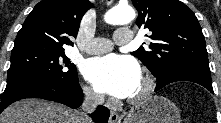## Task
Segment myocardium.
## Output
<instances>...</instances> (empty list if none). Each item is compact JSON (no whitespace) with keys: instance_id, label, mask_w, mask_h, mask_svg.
Returning <instances> with one entry per match:
<instances>
[{"instance_id":"myocardium-1","label":"myocardium","mask_w":221,"mask_h":123,"mask_svg":"<svg viewBox=\"0 0 221 123\" xmlns=\"http://www.w3.org/2000/svg\"><path fill=\"white\" fill-rule=\"evenodd\" d=\"M141 88L133 96L128 98V103L136 105L146 100L153 92L155 88V80L149 75H143L140 77Z\"/></svg>"}]
</instances>
